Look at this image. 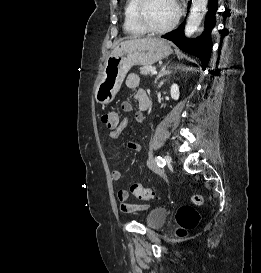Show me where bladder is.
<instances>
[{
    "instance_id": "31cf9c89",
    "label": "bladder",
    "mask_w": 261,
    "mask_h": 273,
    "mask_svg": "<svg viewBox=\"0 0 261 273\" xmlns=\"http://www.w3.org/2000/svg\"><path fill=\"white\" fill-rule=\"evenodd\" d=\"M167 219V212L162 208L152 209L146 216V225L151 229L161 227Z\"/></svg>"
}]
</instances>
